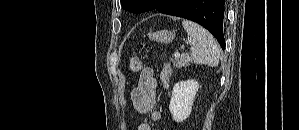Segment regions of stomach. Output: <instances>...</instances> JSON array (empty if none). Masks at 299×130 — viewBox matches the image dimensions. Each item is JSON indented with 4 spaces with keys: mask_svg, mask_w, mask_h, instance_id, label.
Here are the masks:
<instances>
[{
    "mask_svg": "<svg viewBox=\"0 0 299 130\" xmlns=\"http://www.w3.org/2000/svg\"><path fill=\"white\" fill-rule=\"evenodd\" d=\"M149 38L159 43H170L174 40L175 34L170 30H160L149 34Z\"/></svg>",
    "mask_w": 299,
    "mask_h": 130,
    "instance_id": "obj_1",
    "label": "stomach"
}]
</instances>
